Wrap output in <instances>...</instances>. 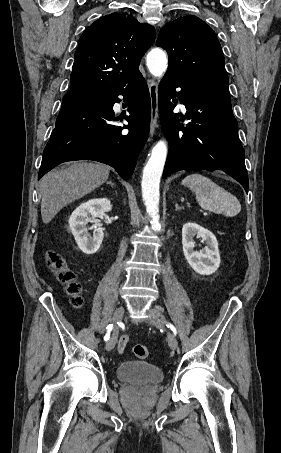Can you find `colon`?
<instances>
[{"label":"colon","mask_w":281,"mask_h":453,"mask_svg":"<svg viewBox=\"0 0 281 453\" xmlns=\"http://www.w3.org/2000/svg\"><path fill=\"white\" fill-rule=\"evenodd\" d=\"M46 263L54 272L58 281L66 285L67 291L71 295L72 302L76 305L81 304L83 301L81 284L77 280L75 269L67 267L63 256L53 249H48L46 251ZM134 354L137 358L143 360H148L151 357L150 350L143 346H135Z\"/></svg>","instance_id":"colon-1"}]
</instances>
